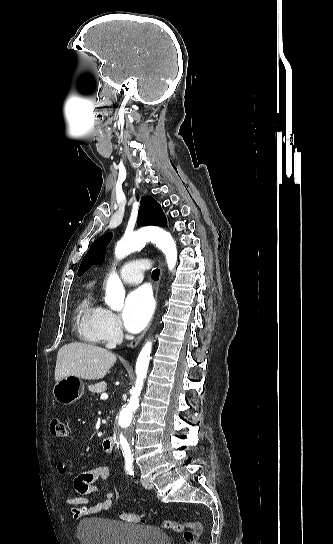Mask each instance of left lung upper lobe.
Returning <instances> with one entry per match:
<instances>
[{
	"instance_id": "5c2ea615",
	"label": "left lung upper lobe",
	"mask_w": 333,
	"mask_h": 544,
	"mask_svg": "<svg viewBox=\"0 0 333 544\" xmlns=\"http://www.w3.org/2000/svg\"><path fill=\"white\" fill-rule=\"evenodd\" d=\"M137 224L138 226H167L166 217L162 211L161 206L151 196H145L141 198ZM110 239L111 234L106 233L92 243L89 251L81 262L78 275H82L92 265L102 262L105 247L109 243Z\"/></svg>"
}]
</instances>
